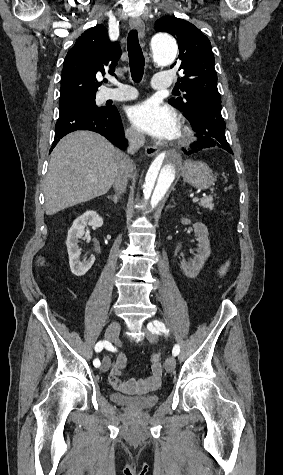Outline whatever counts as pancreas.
<instances>
[{"label":"pancreas","mask_w":283,"mask_h":475,"mask_svg":"<svg viewBox=\"0 0 283 475\" xmlns=\"http://www.w3.org/2000/svg\"><path fill=\"white\" fill-rule=\"evenodd\" d=\"M199 206H202V208H209V210H214L213 196H206V198H201Z\"/></svg>","instance_id":"1"}]
</instances>
